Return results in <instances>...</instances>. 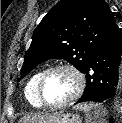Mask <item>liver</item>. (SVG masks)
<instances>
[{"label": "liver", "instance_id": "1", "mask_svg": "<svg viewBox=\"0 0 122 123\" xmlns=\"http://www.w3.org/2000/svg\"><path fill=\"white\" fill-rule=\"evenodd\" d=\"M50 114H38L25 116L20 119L19 123H43L49 118Z\"/></svg>", "mask_w": 122, "mask_h": 123}]
</instances>
